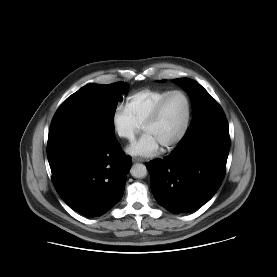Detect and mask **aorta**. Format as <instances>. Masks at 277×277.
I'll list each match as a JSON object with an SVG mask.
<instances>
[{
	"label": "aorta",
	"instance_id": "obj_1",
	"mask_svg": "<svg viewBox=\"0 0 277 277\" xmlns=\"http://www.w3.org/2000/svg\"><path fill=\"white\" fill-rule=\"evenodd\" d=\"M146 166L140 163H136L131 167L130 173L134 178H144L147 176Z\"/></svg>",
	"mask_w": 277,
	"mask_h": 277
}]
</instances>
